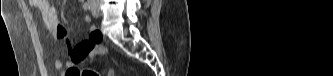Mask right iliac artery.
<instances>
[{"instance_id":"1","label":"right iliac artery","mask_w":333,"mask_h":76,"mask_svg":"<svg viewBox=\"0 0 333 76\" xmlns=\"http://www.w3.org/2000/svg\"><path fill=\"white\" fill-rule=\"evenodd\" d=\"M91 7H92V1L85 2L84 6H83L84 10H90Z\"/></svg>"}]
</instances>
